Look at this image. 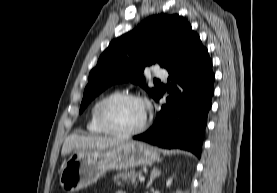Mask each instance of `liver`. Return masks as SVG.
Returning a JSON list of instances; mask_svg holds the SVG:
<instances>
[{
  "instance_id": "1",
  "label": "liver",
  "mask_w": 277,
  "mask_h": 193,
  "mask_svg": "<svg viewBox=\"0 0 277 193\" xmlns=\"http://www.w3.org/2000/svg\"><path fill=\"white\" fill-rule=\"evenodd\" d=\"M119 138H109L102 136H81L72 134L68 136L62 146L61 155L66 156L74 149L105 150L122 143Z\"/></svg>"
}]
</instances>
